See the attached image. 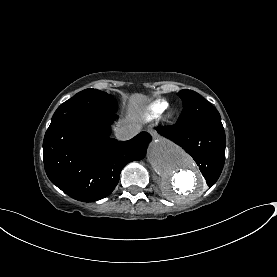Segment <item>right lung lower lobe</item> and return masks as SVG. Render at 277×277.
Listing matches in <instances>:
<instances>
[{"label": "right lung lower lobe", "mask_w": 277, "mask_h": 277, "mask_svg": "<svg viewBox=\"0 0 277 277\" xmlns=\"http://www.w3.org/2000/svg\"><path fill=\"white\" fill-rule=\"evenodd\" d=\"M116 117L114 113L78 116L48 128L43 141L45 171L70 197L83 202L107 197L122 168L144 158L150 135L142 132L128 141L110 138Z\"/></svg>", "instance_id": "98d812e1"}]
</instances>
